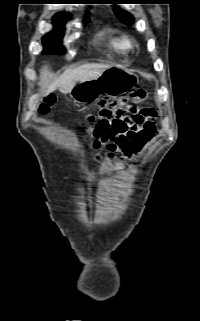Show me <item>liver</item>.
Instances as JSON below:
<instances>
[{"label":"liver","instance_id":"6515ba94","mask_svg":"<svg viewBox=\"0 0 200 321\" xmlns=\"http://www.w3.org/2000/svg\"><path fill=\"white\" fill-rule=\"evenodd\" d=\"M111 66L108 64H86L77 68H69L58 78L53 79V75L46 69L41 73V82L45 89V94L58 89L61 93H70L77 82H83L98 78L106 69Z\"/></svg>","mask_w":200,"mask_h":321}]
</instances>
